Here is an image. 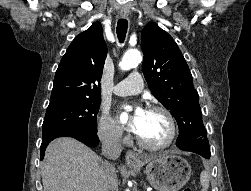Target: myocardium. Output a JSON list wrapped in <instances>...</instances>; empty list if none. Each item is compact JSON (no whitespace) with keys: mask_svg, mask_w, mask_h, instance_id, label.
Segmentation results:
<instances>
[{"mask_svg":"<svg viewBox=\"0 0 251 191\" xmlns=\"http://www.w3.org/2000/svg\"><path fill=\"white\" fill-rule=\"evenodd\" d=\"M148 111L151 112H161L167 119L168 124H169V137L166 142L158 145H154L151 143H148L146 140H144L139 134L136 135V140L138 144L146 149V150H151V151H160V150H165L170 148L176 141L177 138V125L175 118L173 114L165 107L159 106V105H153L148 108Z\"/></svg>","mask_w":251,"mask_h":191,"instance_id":"myocardium-1","label":"myocardium"}]
</instances>
